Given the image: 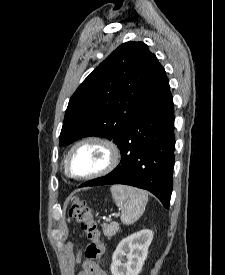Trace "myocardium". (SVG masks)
Wrapping results in <instances>:
<instances>
[{
  "mask_svg": "<svg viewBox=\"0 0 225 275\" xmlns=\"http://www.w3.org/2000/svg\"><path fill=\"white\" fill-rule=\"evenodd\" d=\"M87 144H95L97 146L102 147L106 152V158H107L106 163L104 164L103 167L91 173L83 174V175L74 174L70 168V158L76 149ZM119 160H120V151L114 142L101 137L89 136L77 141L72 145V147L69 149L65 157L64 169L66 174L72 178L93 179V178H97L110 173L112 170L116 168V166L119 163Z\"/></svg>",
  "mask_w": 225,
  "mask_h": 275,
  "instance_id": "obj_1",
  "label": "myocardium"
}]
</instances>
